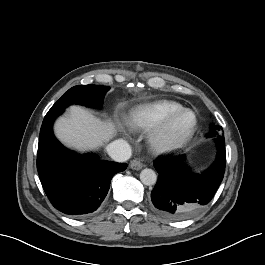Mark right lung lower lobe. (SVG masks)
Wrapping results in <instances>:
<instances>
[{"label":"right lung lower lobe","instance_id":"1","mask_svg":"<svg viewBox=\"0 0 265 265\" xmlns=\"http://www.w3.org/2000/svg\"><path fill=\"white\" fill-rule=\"evenodd\" d=\"M64 109L49 110L40 130L37 170L52 205L64 214L84 217L106 197L112 177L127 164L99 160L91 153L79 156L54 137L52 125Z\"/></svg>","mask_w":265,"mask_h":265}]
</instances>
